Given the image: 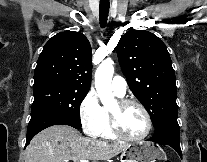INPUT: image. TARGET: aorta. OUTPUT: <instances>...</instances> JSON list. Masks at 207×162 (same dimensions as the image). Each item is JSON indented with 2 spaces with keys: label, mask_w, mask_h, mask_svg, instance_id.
Instances as JSON below:
<instances>
[{
  "label": "aorta",
  "mask_w": 207,
  "mask_h": 162,
  "mask_svg": "<svg viewBox=\"0 0 207 162\" xmlns=\"http://www.w3.org/2000/svg\"><path fill=\"white\" fill-rule=\"evenodd\" d=\"M114 73V62L108 58L104 60L98 67L95 74V87L101 103L108 106L115 102L111 89V81Z\"/></svg>",
  "instance_id": "1"
}]
</instances>
